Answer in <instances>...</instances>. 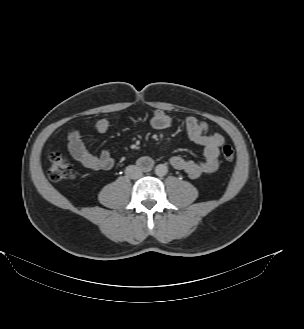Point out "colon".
Wrapping results in <instances>:
<instances>
[{
	"instance_id": "obj_1",
	"label": "colon",
	"mask_w": 304,
	"mask_h": 329,
	"mask_svg": "<svg viewBox=\"0 0 304 329\" xmlns=\"http://www.w3.org/2000/svg\"><path fill=\"white\" fill-rule=\"evenodd\" d=\"M222 156L225 160L231 161L235 157V152L232 146L224 145L222 147ZM49 167V177L54 182H66L75 177L74 170L67 158L59 151L51 152Z\"/></svg>"
}]
</instances>
